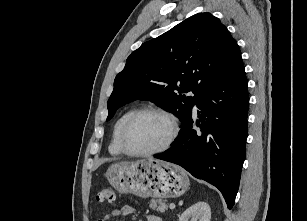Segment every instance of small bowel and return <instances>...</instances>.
Instances as JSON below:
<instances>
[{
  "mask_svg": "<svg viewBox=\"0 0 307 221\" xmlns=\"http://www.w3.org/2000/svg\"><path fill=\"white\" fill-rule=\"evenodd\" d=\"M134 213V209L131 206H123L120 209H113L109 213L105 214L101 219L98 221H112L113 219L123 215H131ZM146 221H162L158 216L149 214L146 216Z\"/></svg>",
  "mask_w": 307,
  "mask_h": 221,
  "instance_id": "1",
  "label": "small bowel"
}]
</instances>
